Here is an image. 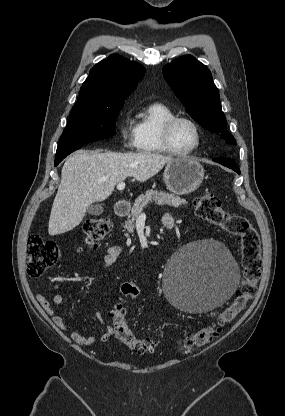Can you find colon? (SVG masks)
Here are the masks:
<instances>
[{"mask_svg": "<svg viewBox=\"0 0 285 416\" xmlns=\"http://www.w3.org/2000/svg\"><path fill=\"white\" fill-rule=\"evenodd\" d=\"M194 205L199 218L239 239L243 277L230 304L218 313L208 326L189 334L185 341L187 347L209 343L221 334L227 324L237 318L254 296L262 263L259 235L246 218L227 212L221 200L211 193L198 197ZM82 229L87 244L97 248L109 234L111 223L105 218H92L83 223ZM27 257V273L31 277H39L58 261L60 251L53 241L44 240L39 235H31L28 239ZM121 293L125 297L136 298L140 290L135 283L125 282L121 286ZM110 318L115 336L121 343L137 353L153 351L154 343L136 335L129 326L128 309L125 304L115 305L110 312Z\"/></svg>", "mask_w": 285, "mask_h": 416, "instance_id": "colon-1", "label": "colon"}]
</instances>
